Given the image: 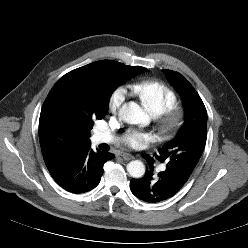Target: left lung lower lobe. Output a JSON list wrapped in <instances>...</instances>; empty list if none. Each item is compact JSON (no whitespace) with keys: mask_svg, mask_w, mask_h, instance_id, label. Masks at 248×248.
<instances>
[{"mask_svg":"<svg viewBox=\"0 0 248 248\" xmlns=\"http://www.w3.org/2000/svg\"><path fill=\"white\" fill-rule=\"evenodd\" d=\"M181 186L173 175L163 171L154 179L152 170H146L141 179H132L130 182L131 192L140 200L148 203H157L174 196Z\"/></svg>","mask_w":248,"mask_h":248,"instance_id":"0a47b994","label":"left lung lower lobe"}]
</instances>
